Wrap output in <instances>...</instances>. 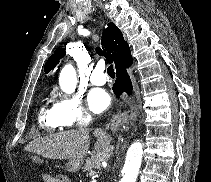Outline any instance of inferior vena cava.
<instances>
[{
    "mask_svg": "<svg viewBox=\"0 0 211 182\" xmlns=\"http://www.w3.org/2000/svg\"><path fill=\"white\" fill-rule=\"evenodd\" d=\"M88 121H89V116H85L83 118V122H82V125H81L80 129H83L84 128V130H87L86 125H87Z\"/></svg>",
    "mask_w": 211,
    "mask_h": 182,
    "instance_id": "inferior-vena-cava-1",
    "label": "inferior vena cava"
}]
</instances>
